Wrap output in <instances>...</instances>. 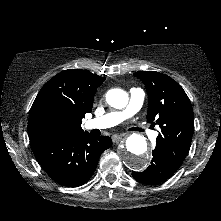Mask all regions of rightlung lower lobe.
<instances>
[{
  "instance_id": "obj_1",
  "label": "right lung lower lobe",
  "mask_w": 221,
  "mask_h": 221,
  "mask_svg": "<svg viewBox=\"0 0 221 221\" xmlns=\"http://www.w3.org/2000/svg\"><path fill=\"white\" fill-rule=\"evenodd\" d=\"M108 136L89 133L66 135L31 143L32 151L45 172L57 183L77 187L94 173L100 155L110 148Z\"/></svg>"
}]
</instances>
